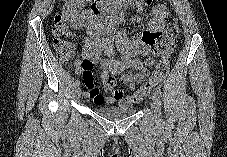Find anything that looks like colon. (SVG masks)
Segmentation results:
<instances>
[{
    "mask_svg": "<svg viewBox=\"0 0 227 157\" xmlns=\"http://www.w3.org/2000/svg\"><path fill=\"white\" fill-rule=\"evenodd\" d=\"M179 25L176 19L169 22L164 34L159 39L153 57L149 64L154 62L155 57L160 61L150 78L139 87L132 95L123 97L120 105L130 108L148 97L152 89L161 84L169 72V58L175 47V41L179 37ZM70 35V29L60 16H56L52 26V43L55 53L61 62L69 61L74 54V45L65 38Z\"/></svg>",
    "mask_w": 227,
    "mask_h": 157,
    "instance_id": "1",
    "label": "colon"
}]
</instances>
